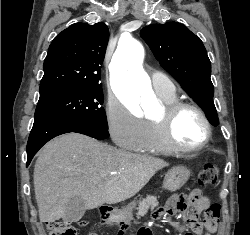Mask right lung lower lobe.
Wrapping results in <instances>:
<instances>
[{"instance_id":"98d812e1","label":"right lung lower lobe","mask_w":250,"mask_h":235,"mask_svg":"<svg viewBox=\"0 0 250 235\" xmlns=\"http://www.w3.org/2000/svg\"><path fill=\"white\" fill-rule=\"evenodd\" d=\"M69 132L85 134L96 139L109 137L108 129L79 120L53 116L36 118L27 143V166L46 142Z\"/></svg>"}]
</instances>
